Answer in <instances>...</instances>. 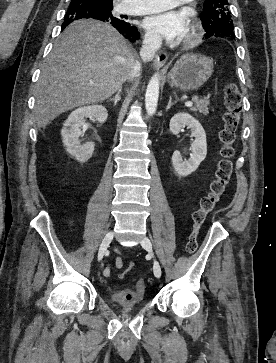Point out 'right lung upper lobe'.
Wrapping results in <instances>:
<instances>
[{
	"label": "right lung upper lobe",
	"mask_w": 276,
	"mask_h": 363,
	"mask_svg": "<svg viewBox=\"0 0 276 363\" xmlns=\"http://www.w3.org/2000/svg\"><path fill=\"white\" fill-rule=\"evenodd\" d=\"M96 1H100L102 3H106V4H109V5H113V0H96ZM115 18H113L114 20ZM123 20H119L117 22H122Z\"/></svg>",
	"instance_id": "obj_1"
}]
</instances>
